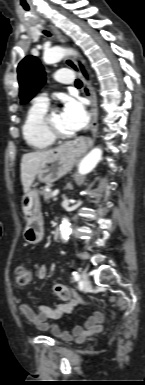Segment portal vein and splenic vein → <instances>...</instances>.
Wrapping results in <instances>:
<instances>
[{
  "mask_svg": "<svg viewBox=\"0 0 145 385\" xmlns=\"http://www.w3.org/2000/svg\"><path fill=\"white\" fill-rule=\"evenodd\" d=\"M59 194V190L57 189V190H54L53 192H52V197L55 199V197L57 196Z\"/></svg>",
  "mask_w": 145,
  "mask_h": 385,
  "instance_id": "portal-vein-and-splenic-vein-1",
  "label": "portal vein and splenic vein"
}]
</instances>
